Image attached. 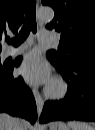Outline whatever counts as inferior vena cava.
<instances>
[{
  "label": "inferior vena cava",
  "instance_id": "602c4592",
  "mask_svg": "<svg viewBox=\"0 0 95 130\" xmlns=\"http://www.w3.org/2000/svg\"><path fill=\"white\" fill-rule=\"evenodd\" d=\"M17 120V130H22L21 128H19V125H20V120L19 119H16Z\"/></svg>",
  "mask_w": 95,
  "mask_h": 130
}]
</instances>
